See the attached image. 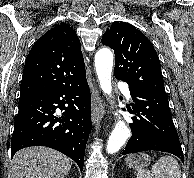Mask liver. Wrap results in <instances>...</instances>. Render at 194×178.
Masks as SVG:
<instances>
[{
    "instance_id": "1",
    "label": "liver",
    "mask_w": 194,
    "mask_h": 178,
    "mask_svg": "<svg viewBox=\"0 0 194 178\" xmlns=\"http://www.w3.org/2000/svg\"><path fill=\"white\" fill-rule=\"evenodd\" d=\"M72 161L47 147H28L18 151L11 162V178H65Z\"/></svg>"
}]
</instances>
